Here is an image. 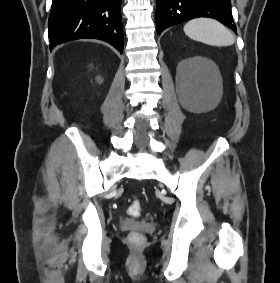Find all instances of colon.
<instances>
[{
    "label": "colon",
    "mask_w": 280,
    "mask_h": 283,
    "mask_svg": "<svg viewBox=\"0 0 280 283\" xmlns=\"http://www.w3.org/2000/svg\"><path fill=\"white\" fill-rule=\"evenodd\" d=\"M140 213H141V205H140V202L136 200L129 206L128 214L131 217H138L140 215ZM132 237L133 238H139L140 235L137 234V233H133Z\"/></svg>",
    "instance_id": "5ec220e1"
}]
</instances>
